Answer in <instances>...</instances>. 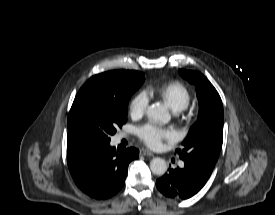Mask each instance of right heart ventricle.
<instances>
[{
  "label": "right heart ventricle",
  "mask_w": 275,
  "mask_h": 215,
  "mask_svg": "<svg viewBox=\"0 0 275 215\" xmlns=\"http://www.w3.org/2000/svg\"><path fill=\"white\" fill-rule=\"evenodd\" d=\"M149 93L160 99L174 111L185 109L191 100L189 90L178 81H169L149 88Z\"/></svg>",
  "instance_id": "obj_1"
}]
</instances>
